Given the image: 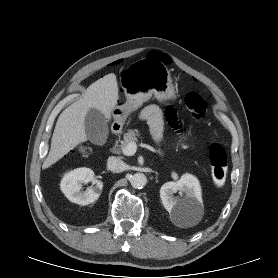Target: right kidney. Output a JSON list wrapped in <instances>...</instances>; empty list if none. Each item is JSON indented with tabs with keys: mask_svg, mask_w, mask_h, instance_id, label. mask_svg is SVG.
<instances>
[{
	"mask_svg": "<svg viewBox=\"0 0 278 278\" xmlns=\"http://www.w3.org/2000/svg\"><path fill=\"white\" fill-rule=\"evenodd\" d=\"M88 182H92L95 186L81 191L82 184ZM60 188L69 201L79 205H88L99 198L103 183L95 180V174L91 169L77 168L64 175Z\"/></svg>",
	"mask_w": 278,
	"mask_h": 278,
	"instance_id": "1",
	"label": "right kidney"
}]
</instances>
